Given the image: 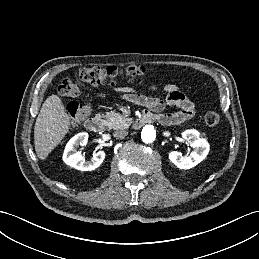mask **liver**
I'll return each mask as SVG.
<instances>
[{
    "mask_svg": "<svg viewBox=\"0 0 259 259\" xmlns=\"http://www.w3.org/2000/svg\"><path fill=\"white\" fill-rule=\"evenodd\" d=\"M70 116L59 96L52 94L42 104L34 127V145L39 159L45 160L69 131Z\"/></svg>",
    "mask_w": 259,
    "mask_h": 259,
    "instance_id": "obj_1",
    "label": "liver"
}]
</instances>
